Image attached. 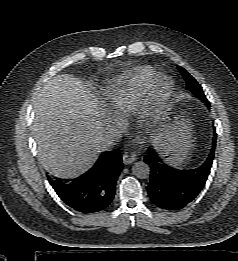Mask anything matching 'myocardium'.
<instances>
[{
  "label": "myocardium",
  "instance_id": "myocardium-1",
  "mask_svg": "<svg viewBox=\"0 0 238 261\" xmlns=\"http://www.w3.org/2000/svg\"><path fill=\"white\" fill-rule=\"evenodd\" d=\"M172 87L173 81L169 76L164 74L155 75L147 87L145 103L139 111V123L141 125L148 124L146 107L163 101L171 92Z\"/></svg>",
  "mask_w": 238,
  "mask_h": 261
}]
</instances>
